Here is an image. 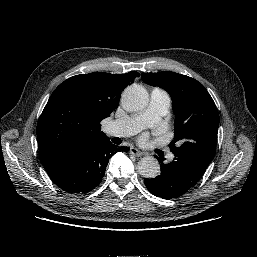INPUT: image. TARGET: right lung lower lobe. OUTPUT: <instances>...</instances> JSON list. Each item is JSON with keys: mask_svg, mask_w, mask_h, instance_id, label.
I'll return each instance as SVG.
<instances>
[{"mask_svg": "<svg viewBox=\"0 0 257 257\" xmlns=\"http://www.w3.org/2000/svg\"><path fill=\"white\" fill-rule=\"evenodd\" d=\"M129 151L118 148L109 138L67 149L43 163L52 181L69 193H86L100 184L109 159L115 153Z\"/></svg>", "mask_w": 257, "mask_h": 257, "instance_id": "right-lung-lower-lobe-1", "label": "right lung lower lobe"}]
</instances>
